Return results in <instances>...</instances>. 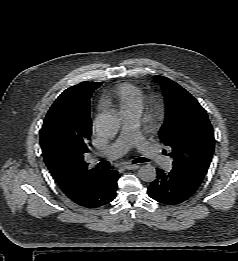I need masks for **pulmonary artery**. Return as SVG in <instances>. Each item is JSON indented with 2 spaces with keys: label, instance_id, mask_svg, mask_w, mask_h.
Masks as SVG:
<instances>
[{
  "label": "pulmonary artery",
  "instance_id": "1",
  "mask_svg": "<svg viewBox=\"0 0 238 261\" xmlns=\"http://www.w3.org/2000/svg\"><path fill=\"white\" fill-rule=\"evenodd\" d=\"M139 115L124 116V123L119 137L100 153L101 157L113 160L123 156L132 146H137L140 152L147 158L158 163L166 169L172 167V159L162 156L156 149L143 141L138 132Z\"/></svg>",
  "mask_w": 238,
  "mask_h": 261
}]
</instances>
